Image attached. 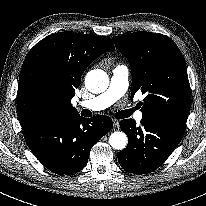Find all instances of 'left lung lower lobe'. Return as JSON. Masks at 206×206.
Instances as JSON below:
<instances>
[{
    "mask_svg": "<svg viewBox=\"0 0 206 206\" xmlns=\"http://www.w3.org/2000/svg\"><path fill=\"white\" fill-rule=\"evenodd\" d=\"M120 127L128 136L127 147L118 154L119 164L126 171L147 174L162 165L181 141L185 126L150 118L124 119Z\"/></svg>",
    "mask_w": 206,
    "mask_h": 206,
    "instance_id": "1",
    "label": "left lung lower lobe"
}]
</instances>
